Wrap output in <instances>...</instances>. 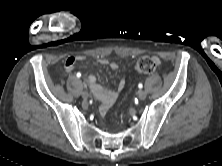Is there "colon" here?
Wrapping results in <instances>:
<instances>
[{
	"mask_svg": "<svg viewBox=\"0 0 222 166\" xmlns=\"http://www.w3.org/2000/svg\"><path fill=\"white\" fill-rule=\"evenodd\" d=\"M158 65L156 58L151 56H143L136 62L135 68L138 72L144 74L153 73Z\"/></svg>",
	"mask_w": 222,
	"mask_h": 166,
	"instance_id": "colon-1",
	"label": "colon"
}]
</instances>
